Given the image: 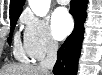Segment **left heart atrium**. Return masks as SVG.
Segmentation results:
<instances>
[{
    "label": "left heart atrium",
    "instance_id": "left-heart-atrium-1",
    "mask_svg": "<svg viewBox=\"0 0 102 75\" xmlns=\"http://www.w3.org/2000/svg\"><path fill=\"white\" fill-rule=\"evenodd\" d=\"M51 28L57 40H63L73 29V20L66 8H58L52 15Z\"/></svg>",
    "mask_w": 102,
    "mask_h": 75
}]
</instances>
